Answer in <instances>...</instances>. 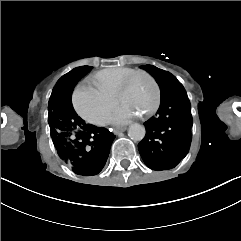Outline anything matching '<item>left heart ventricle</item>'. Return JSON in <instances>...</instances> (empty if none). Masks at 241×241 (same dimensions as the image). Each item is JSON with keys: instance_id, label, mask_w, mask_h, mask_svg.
I'll list each match as a JSON object with an SVG mask.
<instances>
[{"instance_id": "left-heart-ventricle-1", "label": "left heart ventricle", "mask_w": 241, "mask_h": 241, "mask_svg": "<svg viewBox=\"0 0 241 241\" xmlns=\"http://www.w3.org/2000/svg\"><path fill=\"white\" fill-rule=\"evenodd\" d=\"M124 107L136 114H142L153 104L155 95L147 78L139 77L128 84L123 92Z\"/></svg>"}]
</instances>
